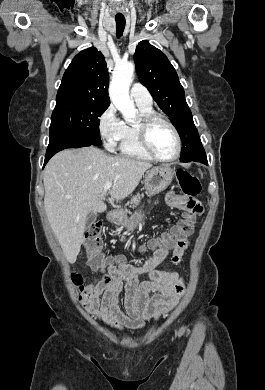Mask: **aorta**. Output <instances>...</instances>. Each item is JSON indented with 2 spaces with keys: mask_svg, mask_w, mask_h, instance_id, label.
Listing matches in <instances>:
<instances>
[{
  "mask_svg": "<svg viewBox=\"0 0 265 390\" xmlns=\"http://www.w3.org/2000/svg\"><path fill=\"white\" fill-rule=\"evenodd\" d=\"M134 64L121 62L115 65L112 81L109 86L110 99L121 112L126 122L132 123L136 118V109L129 96V88L133 80Z\"/></svg>",
  "mask_w": 265,
  "mask_h": 390,
  "instance_id": "762f6f07",
  "label": "aorta"
}]
</instances>
